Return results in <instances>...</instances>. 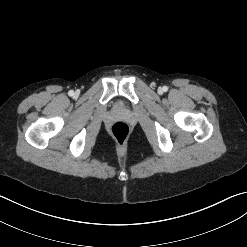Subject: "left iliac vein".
I'll return each instance as SVG.
<instances>
[{"mask_svg":"<svg viewBox=\"0 0 247 247\" xmlns=\"http://www.w3.org/2000/svg\"><path fill=\"white\" fill-rule=\"evenodd\" d=\"M158 92H159V93H162V92H163V89H162V88H159V89H158Z\"/></svg>","mask_w":247,"mask_h":247,"instance_id":"1","label":"left iliac vein"}]
</instances>
